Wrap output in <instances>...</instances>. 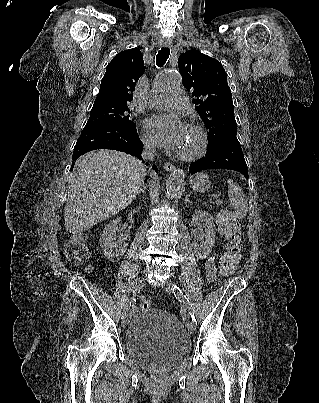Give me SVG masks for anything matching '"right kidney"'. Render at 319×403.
I'll list each match as a JSON object with an SVG mask.
<instances>
[{
	"mask_svg": "<svg viewBox=\"0 0 319 403\" xmlns=\"http://www.w3.org/2000/svg\"><path fill=\"white\" fill-rule=\"evenodd\" d=\"M121 226V219L116 218L112 220L103 230L99 243L103 250L104 256L110 261H118L124 255L127 244L123 234L116 237V233Z\"/></svg>",
	"mask_w": 319,
	"mask_h": 403,
	"instance_id": "right-kidney-1",
	"label": "right kidney"
}]
</instances>
